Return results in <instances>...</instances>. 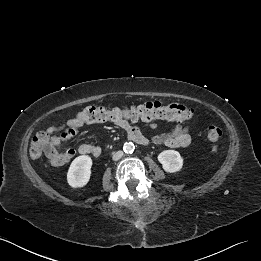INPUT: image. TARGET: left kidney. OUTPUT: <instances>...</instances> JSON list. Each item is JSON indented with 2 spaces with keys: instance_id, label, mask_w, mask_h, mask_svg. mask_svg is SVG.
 I'll list each match as a JSON object with an SVG mask.
<instances>
[{
  "instance_id": "obj_1",
  "label": "left kidney",
  "mask_w": 261,
  "mask_h": 261,
  "mask_svg": "<svg viewBox=\"0 0 261 261\" xmlns=\"http://www.w3.org/2000/svg\"><path fill=\"white\" fill-rule=\"evenodd\" d=\"M157 158L165 172L175 173L182 169L183 158L178 151L165 150Z\"/></svg>"
}]
</instances>
